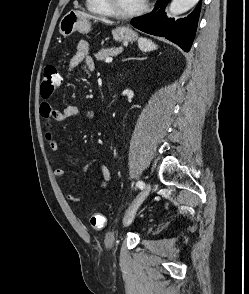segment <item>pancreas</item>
<instances>
[{"mask_svg":"<svg viewBox=\"0 0 249 294\" xmlns=\"http://www.w3.org/2000/svg\"><path fill=\"white\" fill-rule=\"evenodd\" d=\"M118 52H119V48H116V47L109 48V49H101L95 55V57L97 58V60L103 61V60H106L110 56L117 55Z\"/></svg>","mask_w":249,"mask_h":294,"instance_id":"pancreas-1","label":"pancreas"}]
</instances>
